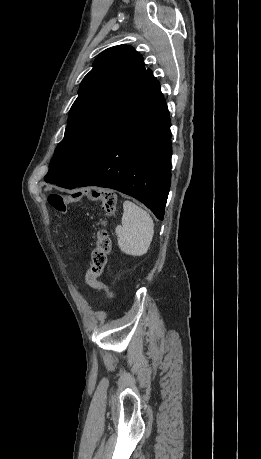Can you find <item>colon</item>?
I'll use <instances>...</instances> for the list:
<instances>
[{"label": "colon", "mask_w": 261, "mask_h": 459, "mask_svg": "<svg viewBox=\"0 0 261 459\" xmlns=\"http://www.w3.org/2000/svg\"><path fill=\"white\" fill-rule=\"evenodd\" d=\"M81 197L100 200L107 216H111L116 210V194L112 191L99 190V188H72L71 195L53 193L48 197V201L58 214L65 215L69 205L77 202ZM110 251V237L108 232L101 228L97 233L96 246L91 254V266L86 273V282L91 288L104 292L108 299H113L114 293L100 280Z\"/></svg>", "instance_id": "colon-1"}]
</instances>
